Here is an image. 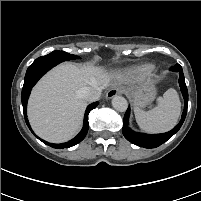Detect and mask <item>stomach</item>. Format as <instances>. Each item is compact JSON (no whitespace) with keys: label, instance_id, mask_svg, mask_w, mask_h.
Returning a JSON list of instances; mask_svg holds the SVG:
<instances>
[{"label":"stomach","instance_id":"obj_1","mask_svg":"<svg viewBox=\"0 0 201 201\" xmlns=\"http://www.w3.org/2000/svg\"><path fill=\"white\" fill-rule=\"evenodd\" d=\"M125 93L133 98L134 104L138 107H144L150 103L156 95L155 87L147 82L138 86H131L125 88Z\"/></svg>","mask_w":201,"mask_h":201}]
</instances>
